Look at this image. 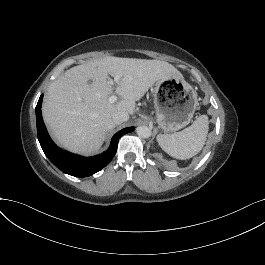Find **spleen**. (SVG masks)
<instances>
[{
	"mask_svg": "<svg viewBox=\"0 0 265 265\" xmlns=\"http://www.w3.org/2000/svg\"><path fill=\"white\" fill-rule=\"evenodd\" d=\"M208 132L206 116H200L191 126L173 134H158L157 142L170 156L189 159L203 147Z\"/></svg>",
	"mask_w": 265,
	"mask_h": 265,
	"instance_id": "3e777b00",
	"label": "spleen"
}]
</instances>
